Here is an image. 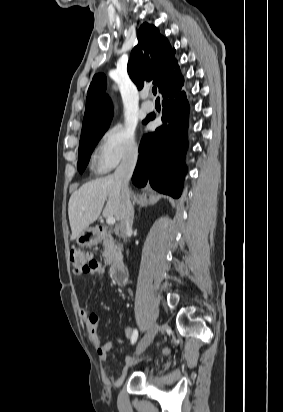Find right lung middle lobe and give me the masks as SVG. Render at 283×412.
I'll use <instances>...</instances> for the list:
<instances>
[{
    "instance_id": "right-lung-middle-lobe-1",
    "label": "right lung middle lobe",
    "mask_w": 283,
    "mask_h": 412,
    "mask_svg": "<svg viewBox=\"0 0 283 412\" xmlns=\"http://www.w3.org/2000/svg\"><path fill=\"white\" fill-rule=\"evenodd\" d=\"M104 132L105 131L97 132L80 138L77 165L80 173H82L85 170L89 162L91 153L94 150L97 143L99 142L100 138L103 136Z\"/></svg>"
}]
</instances>
